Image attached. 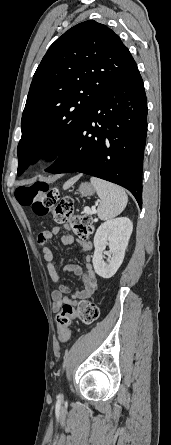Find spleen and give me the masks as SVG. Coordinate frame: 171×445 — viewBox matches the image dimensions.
Here are the masks:
<instances>
[{"label": "spleen", "instance_id": "obj_1", "mask_svg": "<svg viewBox=\"0 0 171 445\" xmlns=\"http://www.w3.org/2000/svg\"><path fill=\"white\" fill-rule=\"evenodd\" d=\"M99 198L100 204L97 209L101 220H108L118 216L126 207L128 197L124 189L99 178H90Z\"/></svg>", "mask_w": 171, "mask_h": 445}]
</instances>
